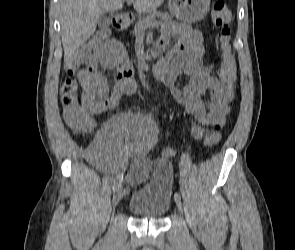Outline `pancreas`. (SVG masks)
Listing matches in <instances>:
<instances>
[{
	"label": "pancreas",
	"instance_id": "obj_1",
	"mask_svg": "<svg viewBox=\"0 0 295 250\" xmlns=\"http://www.w3.org/2000/svg\"><path fill=\"white\" fill-rule=\"evenodd\" d=\"M157 19H159V24L160 25H173L175 22L173 21V17L168 14L167 12H162V11H154L149 13L147 16L144 17H139L138 21L136 22L134 29H133V35L138 36V34L141 31H145L146 28H148V24L150 22H157ZM164 22V23H163Z\"/></svg>",
	"mask_w": 295,
	"mask_h": 250
}]
</instances>
